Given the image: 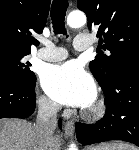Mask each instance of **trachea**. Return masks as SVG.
<instances>
[{"instance_id":"trachea-1","label":"trachea","mask_w":139,"mask_h":150,"mask_svg":"<svg viewBox=\"0 0 139 150\" xmlns=\"http://www.w3.org/2000/svg\"><path fill=\"white\" fill-rule=\"evenodd\" d=\"M67 8L68 0H53L50 15L55 34H66L64 20Z\"/></svg>"}]
</instances>
